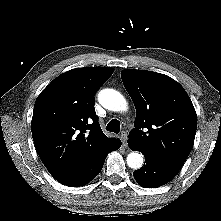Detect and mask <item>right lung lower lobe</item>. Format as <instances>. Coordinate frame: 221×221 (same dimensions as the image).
<instances>
[{
	"label": "right lung lower lobe",
	"mask_w": 221,
	"mask_h": 221,
	"mask_svg": "<svg viewBox=\"0 0 221 221\" xmlns=\"http://www.w3.org/2000/svg\"><path fill=\"white\" fill-rule=\"evenodd\" d=\"M121 145L119 140L113 142L112 145L97 154L92 160H90L85 166H83L78 172L64 181L60 182L67 186H83L89 183L103 167L105 159L111 151L117 150Z\"/></svg>",
	"instance_id": "right-lung-lower-lobe-1"
}]
</instances>
